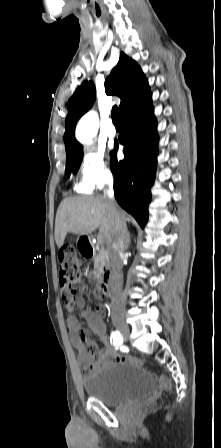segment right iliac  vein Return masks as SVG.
Returning a JSON list of instances; mask_svg holds the SVG:
<instances>
[{
  "mask_svg": "<svg viewBox=\"0 0 221 448\" xmlns=\"http://www.w3.org/2000/svg\"><path fill=\"white\" fill-rule=\"evenodd\" d=\"M114 324H115L117 330L122 335V337L125 340H127L129 338V335H130L129 327L123 321H121L120 319H115L114 320Z\"/></svg>",
  "mask_w": 221,
  "mask_h": 448,
  "instance_id": "63e3f726",
  "label": "right iliac vein"
}]
</instances>
